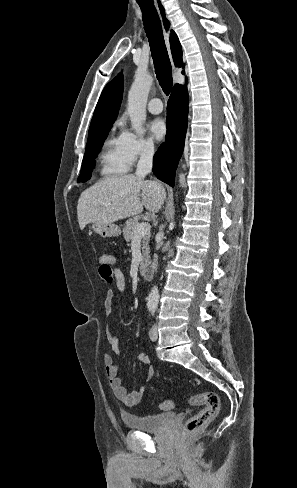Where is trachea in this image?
<instances>
[{"label": "trachea", "mask_w": 297, "mask_h": 488, "mask_svg": "<svg viewBox=\"0 0 297 488\" xmlns=\"http://www.w3.org/2000/svg\"><path fill=\"white\" fill-rule=\"evenodd\" d=\"M141 8L144 29L151 48L155 73L164 93L169 95L172 84V67L165 45L160 18L152 2L137 0Z\"/></svg>", "instance_id": "1"}]
</instances>
